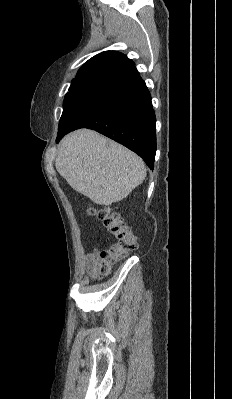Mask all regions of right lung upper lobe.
<instances>
[{"label": "right lung upper lobe", "mask_w": 232, "mask_h": 399, "mask_svg": "<svg viewBox=\"0 0 232 399\" xmlns=\"http://www.w3.org/2000/svg\"><path fill=\"white\" fill-rule=\"evenodd\" d=\"M133 61L116 51H105L89 59L79 69L75 79L103 81L134 67Z\"/></svg>", "instance_id": "1"}]
</instances>
